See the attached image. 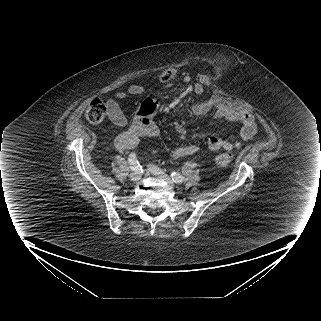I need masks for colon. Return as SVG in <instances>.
Wrapping results in <instances>:
<instances>
[{
	"label": "colon",
	"mask_w": 321,
	"mask_h": 321,
	"mask_svg": "<svg viewBox=\"0 0 321 321\" xmlns=\"http://www.w3.org/2000/svg\"><path fill=\"white\" fill-rule=\"evenodd\" d=\"M173 77L174 71L172 69H165L159 75L160 80L163 82H169ZM198 80L203 86H206L209 83V77L205 73L200 74ZM106 115L107 107L105 103L100 99H93L84 112L85 119L91 124L102 123ZM232 160V155L227 153H221L214 156L213 163L217 166L224 167L229 165L232 162Z\"/></svg>",
	"instance_id": "5ec220e1"
}]
</instances>
